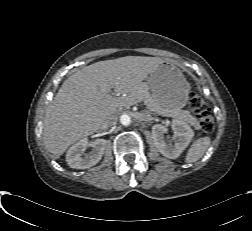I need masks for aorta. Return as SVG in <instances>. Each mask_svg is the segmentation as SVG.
<instances>
[{
	"label": "aorta",
	"instance_id": "aorta-1",
	"mask_svg": "<svg viewBox=\"0 0 252 231\" xmlns=\"http://www.w3.org/2000/svg\"><path fill=\"white\" fill-rule=\"evenodd\" d=\"M120 122L124 125V126H128L131 123V118L129 115L127 114H123L120 116Z\"/></svg>",
	"mask_w": 252,
	"mask_h": 231
}]
</instances>
